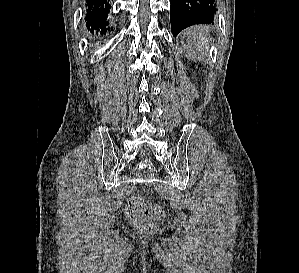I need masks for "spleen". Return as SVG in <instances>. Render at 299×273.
Masks as SVG:
<instances>
[{
  "mask_svg": "<svg viewBox=\"0 0 299 273\" xmlns=\"http://www.w3.org/2000/svg\"><path fill=\"white\" fill-rule=\"evenodd\" d=\"M185 55L193 61H203L209 54L210 31L202 25H196L183 31L181 37Z\"/></svg>",
  "mask_w": 299,
  "mask_h": 273,
  "instance_id": "obj_1",
  "label": "spleen"
}]
</instances>
